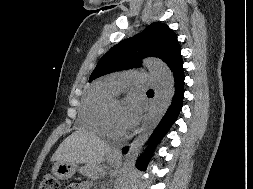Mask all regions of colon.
<instances>
[{
	"label": "colon",
	"instance_id": "1",
	"mask_svg": "<svg viewBox=\"0 0 253 189\" xmlns=\"http://www.w3.org/2000/svg\"><path fill=\"white\" fill-rule=\"evenodd\" d=\"M40 189H60V182L56 176L47 173L43 177Z\"/></svg>",
	"mask_w": 253,
	"mask_h": 189
}]
</instances>
